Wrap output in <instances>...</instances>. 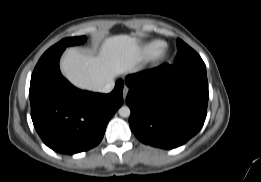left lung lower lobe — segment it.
I'll return each mask as SVG.
<instances>
[{
    "instance_id": "obj_1",
    "label": "left lung lower lobe",
    "mask_w": 261,
    "mask_h": 182,
    "mask_svg": "<svg viewBox=\"0 0 261 182\" xmlns=\"http://www.w3.org/2000/svg\"><path fill=\"white\" fill-rule=\"evenodd\" d=\"M129 124L144 144L173 149L198 133L207 114L206 66L164 64L128 75Z\"/></svg>"
}]
</instances>
